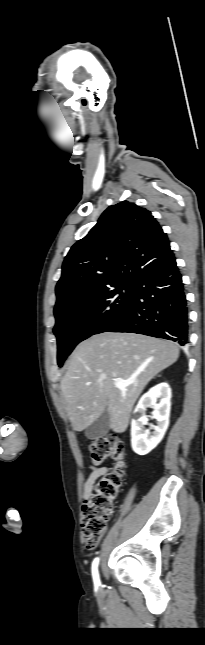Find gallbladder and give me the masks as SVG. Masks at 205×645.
<instances>
[{
  "label": "gallbladder",
  "instance_id": "bac80fb5",
  "mask_svg": "<svg viewBox=\"0 0 205 645\" xmlns=\"http://www.w3.org/2000/svg\"><path fill=\"white\" fill-rule=\"evenodd\" d=\"M109 423V413L105 410L91 425L86 428L85 436L90 440L106 436L109 431Z\"/></svg>",
  "mask_w": 205,
  "mask_h": 645
}]
</instances>
